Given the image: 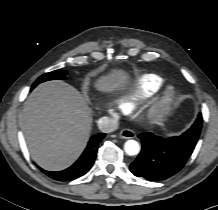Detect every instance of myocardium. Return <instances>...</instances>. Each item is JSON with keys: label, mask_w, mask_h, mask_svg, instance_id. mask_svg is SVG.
I'll use <instances>...</instances> for the list:
<instances>
[{"label": "myocardium", "mask_w": 218, "mask_h": 210, "mask_svg": "<svg viewBox=\"0 0 218 210\" xmlns=\"http://www.w3.org/2000/svg\"><path fill=\"white\" fill-rule=\"evenodd\" d=\"M177 98V90L174 86H167L160 94L156 102L146 111L145 118L150 122H157L169 113Z\"/></svg>", "instance_id": "myocardium-1"}]
</instances>
